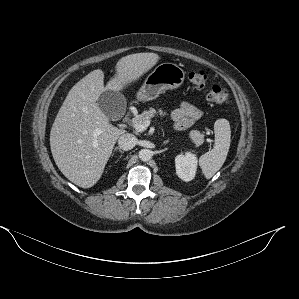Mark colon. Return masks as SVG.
Masks as SVG:
<instances>
[{
	"label": "colon",
	"instance_id": "obj_1",
	"mask_svg": "<svg viewBox=\"0 0 299 299\" xmlns=\"http://www.w3.org/2000/svg\"><path fill=\"white\" fill-rule=\"evenodd\" d=\"M191 84L199 89L206 91L207 98L218 104H226L231 100L229 90L223 86L212 84L209 85L208 77L202 70L192 71L188 75Z\"/></svg>",
	"mask_w": 299,
	"mask_h": 299
}]
</instances>
